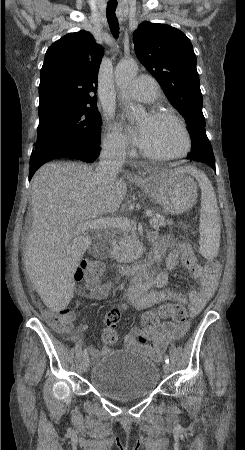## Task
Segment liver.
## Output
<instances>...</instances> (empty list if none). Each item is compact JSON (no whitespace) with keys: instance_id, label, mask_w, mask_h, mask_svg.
<instances>
[{"instance_id":"6515ba94","label":"liver","mask_w":245,"mask_h":450,"mask_svg":"<svg viewBox=\"0 0 245 450\" xmlns=\"http://www.w3.org/2000/svg\"><path fill=\"white\" fill-rule=\"evenodd\" d=\"M127 192L123 178L107 187L88 165L53 162L32 178V227L24 265L44 304L53 312L73 298L74 274L92 239L75 235L78 224L115 213Z\"/></svg>"}]
</instances>
